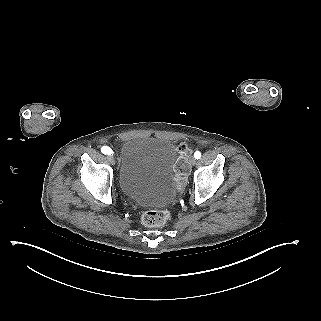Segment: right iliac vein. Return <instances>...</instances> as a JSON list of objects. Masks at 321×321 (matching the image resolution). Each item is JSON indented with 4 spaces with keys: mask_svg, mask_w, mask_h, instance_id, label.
<instances>
[{
    "mask_svg": "<svg viewBox=\"0 0 321 321\" xmlns=\"http://www.w3.org/2000/svg\"><path fill=\"white\" fill-rule=\"evenodd\" d=\"M108 161L114 165L115 164V160H114V157L113 156H108Z\"/></svg>",
    "mask_w": 321,
    "mask_h": 321,
    "instance_id": "63e3f726",
    "label": "right iliac vein"
}]
</instances>
